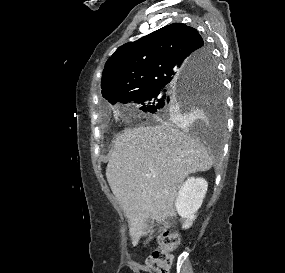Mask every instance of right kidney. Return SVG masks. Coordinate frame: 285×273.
<instances>
[{"label":"right kidney","mask_w":285,"mask_h":273,"mask_svg":"<svg viewBox=\"0 0 285 273\" xmlns=\"http://www.w3.org/2000/svg\"><path fill=\"white\" fill-rule=\"evenodd\" d=\"M208 183L203 178H188L181 186L175 201L178 214L184 219L183 229L192 226L196 212L201 207Z\"/></svg>","instance_id":"1"}]
</instances>
